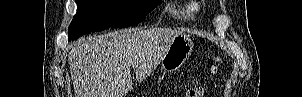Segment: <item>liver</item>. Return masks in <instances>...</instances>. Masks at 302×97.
<instances>
[{"instance_id":"obj_1","label":"liver","mask_w":302,"mask_h":97,"mask_svg":"<svg viewBox=\"0 0 302 97\" xmlns=\"http://www.w3.org/2000/svg\"><path fill=\"white\" fill-rule=\"evenodd\" d=\"M180 34L161 28L126 30L73 43L69 66L75 97H124L132 89L131 67L137 78L145 77Z\"/></svg>"}]
</instances>
